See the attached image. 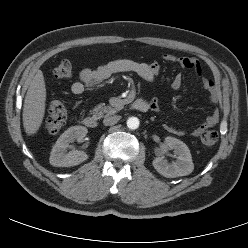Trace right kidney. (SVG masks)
Segmentation results:
<instances>
[{"mask_svg": "<svg viewBox=\"0 0 248 248\" xmlns=\"http://www.w3.org/2000/svg\"><path fill=\"white\" fill-rule=\"evenodd\" d=\"M88 130L83 126H72L68 128L56 141L50 154V164L56 167H71L78 165L88 159L84 151L72 150L67 153L69 143L83 142Z\"/></svg>", "mask_w": 248, "mask_h": 248, "instance_id": "obj_1", "label": "right kidney"}]
</instances>
